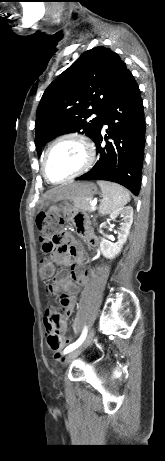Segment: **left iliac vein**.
Wrapping results in <instances>:
<instances>
[{"mask_svg":"<svg viewBox=\"0 0 165 461\" xmlns=\"http://www.w3.org/2000/svg\"><path fill=\"white\" fill-rule=\"evenodd\" d=\"M94 334H95V330H94V328H91L88 335H87V337H86V339L84 340V342L77 349L71 351L69 354L66 355L65 360H64V364L70 363L83 350H85L90 345V343L92 342Z\"/></svg>","mask_w":165,"mask_h":461,"instance_id":"obj_1","label":"left iliac vein"}]
</instances>
